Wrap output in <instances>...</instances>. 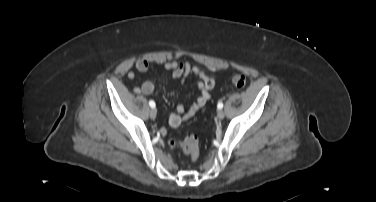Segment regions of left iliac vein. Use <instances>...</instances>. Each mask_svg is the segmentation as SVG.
I'll use <instances>...</instances> for the list:
<instances>
[{
    "instance_id": "4c4485c4",
    "label": "left iliac vein",
    "mask_w": 376,
    "mask_h": 202,
    "mask_svg": "<svg viewBox=\"0 0 376 202\" xmlns=\"http://www.w3.org/2000/svg\"><path fill=\"white\" fill-rule=\"evenodd\" d=\"M217 116H218L219 119H223L224 116H225L224 111L219 109L218 112H217Z\"/></svg>"
}]
</instances>
